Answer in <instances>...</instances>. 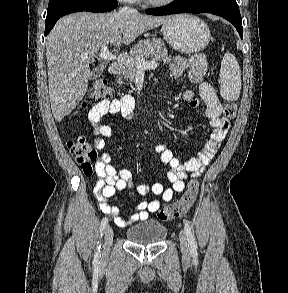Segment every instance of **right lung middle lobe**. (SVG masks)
Masks as SVG:
<instances>
[{"mask_svg": "<svg viewBox=\"0 0 288 293\" xmlns=\"http://www.w3.org/2000/svg\"><path fill=\"white\" fill-rule=\"evenodd\" d=\"M76 1H81V0H49L47 12H50L62 5H65L71 2H76ZM89 1H95L98 3H105V4L117 2V0H89Z\"/></svg>", "mask_w": 288, "mask_h": 293, "instance_id": "dd1d6c3e", "label": "right lung middle lobe"}]
</instances>
